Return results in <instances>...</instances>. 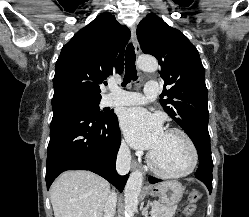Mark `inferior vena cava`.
Masks as SVG:
<instances>
[{
  "mask_svg": "<svg viewBox=\"0 0 249 217\" xmlns=\"http://www.w3.org/2000/svg\"><path fill=\"white\" fill-rule=\"evenodd\" d=\"M131 155L128 146L123 142L118 151L116 170L120 175H125L130 170ZM117 196L111 192L106 200L103 217H114L116 211Z\"/></svg>",
  "mask_w": 249,
  "mask_h": 217,
  "instance_id": "inferior-vena-cava-1",
  "label": "inferior vena cava"
}]
</instances>
